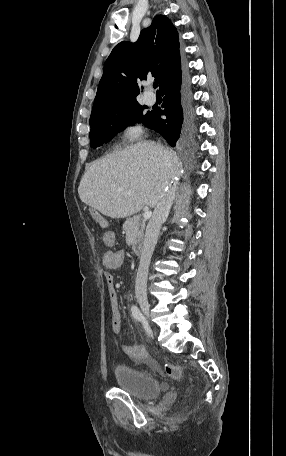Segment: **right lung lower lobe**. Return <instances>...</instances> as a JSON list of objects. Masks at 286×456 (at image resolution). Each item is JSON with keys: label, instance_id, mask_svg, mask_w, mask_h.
Here are the masks:
<instances>
[{"label": "right lung lower lobe", "instance_id": "98d812e1", "mask_svg": "<svg viewBox=\"0 0 286 456\" xmlns=\"http://www.w3.org/2000/svg\"><path fill=\"white\" fill-rule=\"evenodd\" d=\"M161 94L164 96V109H154L147 126L160 133L174 147L184 141L194 128L191 89L187 79L180 77L166 85ZM162 115L166 119H162Z\"/></svg>", "mask_w": 286, "mask_h": 456}]
</instances>
